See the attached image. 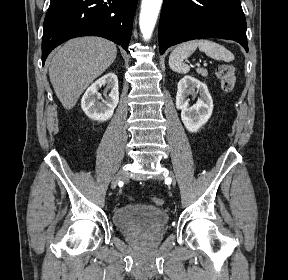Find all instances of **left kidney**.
<instances>
[{"mask_svg":"<svg viewBox=\"0 0 288 280\" xmlns=\"http://www.w3.org/2000/svg\"><path fill=\"white\" fill-rule=\"evenodd\" d=\"M176 108L181 110V119L189 132H197L211 117L213 100L207 85L192 76H184L177 85ZM199 93L197 102L190 106L188 96Z\"/></svg>","mask_w":288,"mask_h":280,"instance_id":"left-kidney-1","label":"left kidney"}]
</instances>
